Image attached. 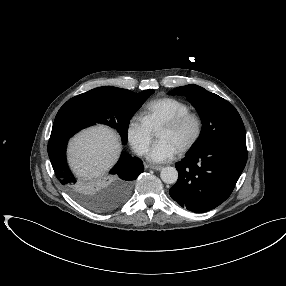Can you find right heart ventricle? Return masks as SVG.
I'll list each match as a JSON object with an SVG mask.
<instances>
[{
	"label": "right heart ventricle",
	"mask_w": 286,
	"mask_h": 286,
	"mask_svg": "<svg viewBox=\"0 0 286 286\" xmlns=\"http://www.w3.org/2000/svg\"><path fill=\"white\" fill-rule=\"evenodd\" d=\"M189 111L190 106L184 101L172 97H163L147 103L143 116L153 131H156L167 120Z\"/></svg>",
	"instance_id": "1"
}]
</instances>
